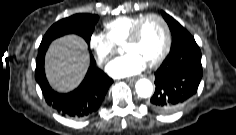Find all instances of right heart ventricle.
Returning a JSON list of instances; mask_svg holds the SVG:
<instances>
[{
  "mask_svg": "<svg viewBox=\"0 0 236 135\" xmlns=\"http://www.w3.org/2000/svg\"><path fill=\"white\" fill-rule=\"evenodd\" d=\"M143 14L120 16L105 23L106 36L115 45L121 46L129 36L133 26L143 17Z\"/></svg>",
  "mask_w": 236,
  "mask_h": 135,
  "instance_id": "obj_1",
  "label": "right heart ventricle"
}]
</instances>
